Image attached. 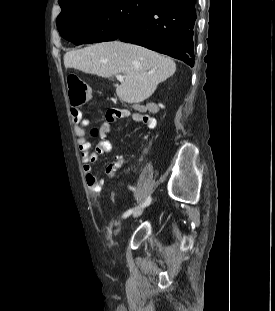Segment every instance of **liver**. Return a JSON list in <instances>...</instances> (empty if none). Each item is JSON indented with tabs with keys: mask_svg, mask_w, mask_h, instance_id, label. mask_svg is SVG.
Returning <instances> with one entry per match:
<instances>
[{
	"mask_svg": "<svg viewBox=\"0 0 275 311\" xmlns=\"http://www.w3.org/2000/svg\"><path fill=\"white\" fill-rule=\"evenodd\" d=\"M64 66L104 78L123 74L126 78L116 87V93L127 103H140L149 98L157 85L176 70L171 58L120 41L69 51L64 55Z\"/></svg>",
	"mask_w": 275,
	"mask_h": 311,
	"instance_id": "liver-1",
	"label": "liver"
}]
</instances>
